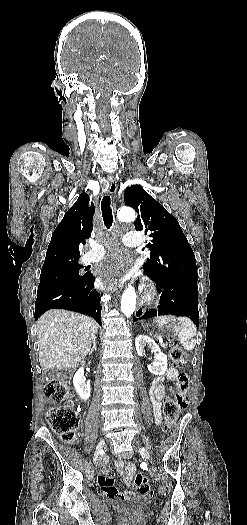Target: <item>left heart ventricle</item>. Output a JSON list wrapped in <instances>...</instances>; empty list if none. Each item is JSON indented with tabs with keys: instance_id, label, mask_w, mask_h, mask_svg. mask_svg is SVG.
Masks as SVG:
<instances>
[{
	"instance_id": "1",
	"label": "left heart ventricle",
	"mask_w": 247,
	"mask_h": 525,
	"mask_svg": "<svg viewBox=\"0 0 247 525\" xmlns=\"http://www.w3.org/2000/svg\"><path fill=\"white\" fill-rule=\"evenodd\" d=\"M135 262H131L130 264L127 265V270H132L135 268Z\"/></svg>"
}]
</instances>
